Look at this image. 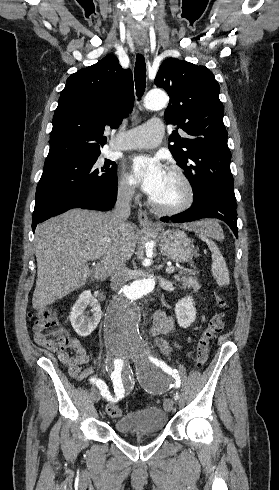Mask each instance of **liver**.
<instances>
[{
	"instance_id": "1",
	"label": "liver",
	"mask_w": 279,
	"mask_h": 490,
	"mask_svg": "<svg viewBox=\"0 0 279 490\" xmlns=\"http://www.w3.org/2000/svg\"><path fill=\"white\" fill-rule=\"evenodd\" d=\"M182 226L197 232L200 222ZM124 232L110 226L109 214L80 208L38 224L34 240L37 280L33 308H44L68 296L82 288L89 276L106 280L116 262L130 260L136 236L133 226L124 228ZM89 260L100 262L90 270Z\"/></svg>"
}]
</instances>
